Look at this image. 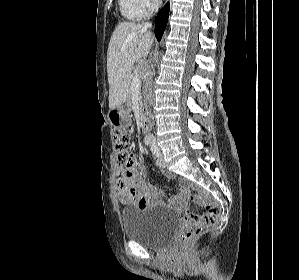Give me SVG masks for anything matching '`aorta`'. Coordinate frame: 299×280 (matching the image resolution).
<instances>
[{"mask_svg": "<svg viewBox=\"0 0 299 280\" xmlns=\"http://www.w3.org/2000/svg\"><path fill=\"white\" fill-rule=\"evenodd\" d=\"M147 137L152 139V138H153V135L150 134V135H148Z\"/></svg>", "mask_w": 299, "mask_h": 280, "instance_id": "1", "label": "aorta"}]
</instances>
